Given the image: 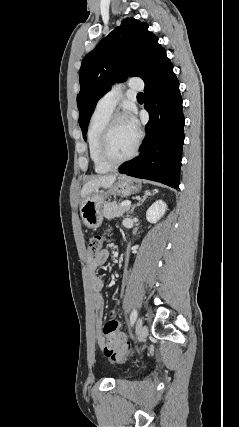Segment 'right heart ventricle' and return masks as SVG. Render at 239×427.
Returning a JSON list of instances; mask_svg holds the SVG:
<instances>
[{"instance_id":"right-heart-ventricle-1","label":"right heart ventricle","mask_w":239,"mask_h":427,"mask_svg":"<svg viewBox=\"0 0 239 427\" xmlns=\"http://www.w3.org/2000/svg\"><path fill=\"white\" fill-rule=\"evenodd\" d=\"M112 112L104 111L96 108L93 112L88 129H87V144L90 159L94 170L97 173H106L111 167L102 162L99 157V141L102 130L111 116Z\"/></svg>"}]
</instances>
